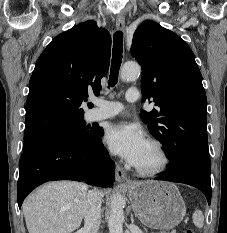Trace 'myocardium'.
Segmentation results:
<instances>
[{"label":"myocardium","mask_w":227,"mask_h":233,"mask_svg":"<svg viewBox=\"0 0 227 233\" xmlns=\"http://www.w3.org/2000/svg\"><path fill=\"white\" fill-rule=\"evenodd\" d=\"M148 144L153 146L158 152L160 157L159 164L152 168H143L135 164H133L132 167L135 170V172L141 176L153 177L163 173L168 168L170 164V157L165 146L159 140L150 139L148 141Z\"/></svg>","instance_id":"1"}]
</instances>
